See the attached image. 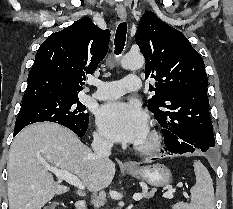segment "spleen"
<instances>
[{
	"mask_svg": "<svg viewBox=\"0 0 233 209\" xmlns=\"http://www.w3.org/2000/svg\"><path fill=\"white\" fill-rule=\"evenodd\" d=\"M196 183L191 188V202H178L173 209H215L214 188L211 176L206 167L194 161Z\"/></svg>",
	"mask_w": 233,
	"mask_h": 209,
	"instance_id": "obj_1",
	"label": "spleen"
}]
</instances>
